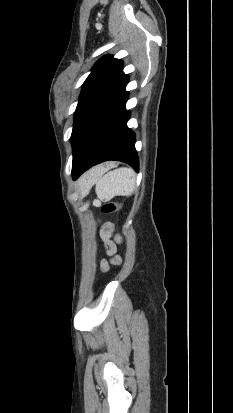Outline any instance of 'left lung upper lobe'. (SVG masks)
Returning <instances> with one entry per match:
<instances>
[{
  "label": "left lung upper lobe",
  "instance_id": "1",
  "mask_svg": "<svg viewBox=\"0 0 233 413\" xmlns=\"http://www.w3.org/2000/svg\"><path fill=\"white\" fill-rule=\"evenodd\" d=\"M127 79L128 76L123 73V63L112 56H105L94 65L83 84L74 115L71 135L73 156L90 123L112 100Z\"/></svg>",
  "mask_w": 233,
  "mask_h": 413
}]
</instances>
